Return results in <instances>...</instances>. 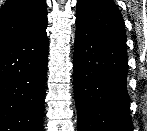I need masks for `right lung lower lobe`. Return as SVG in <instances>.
Segmentation results:
<instances>
[{"instance_id":"obj_1","label":"right lung lower lobe","mask_w":147,"mask_h":131,"mask_svg":"<svg viewBox=\"0 0 147 131\" xmlns=\"http://www.w3.org/2000/svg\"><path fill=\"white\" fill-rule=\"evenodd\" d=\"M46 28L0 44V131H43Z\"/></svg>"}]
</instances>
